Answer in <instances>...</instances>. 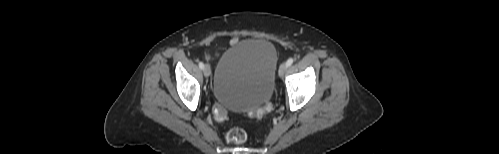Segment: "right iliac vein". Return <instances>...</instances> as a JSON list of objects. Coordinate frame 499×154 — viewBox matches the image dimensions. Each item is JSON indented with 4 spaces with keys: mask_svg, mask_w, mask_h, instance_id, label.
<instances>
[{
    "mask_svg": "<svg viewBox=\"0 0 499 154\" xmlns=\"http://www.w3.org/2000/svg\"><path fill=\"white\" fill-rule=\"evenodd\" d=\"M203 73L205 77H209L211 74V69L209 65H205L203 69Z\"/></svg>",
    "mask_w": 499,
    "mask_h": 154,
    "instance_id": "1",
    "label": "right iliac vein"
}]
</instances>
